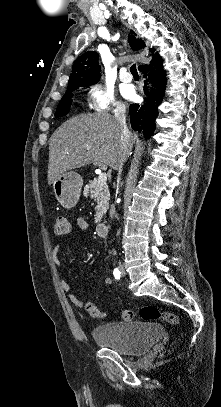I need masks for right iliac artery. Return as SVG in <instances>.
Here are the masks:
<instances>
[{
    "label": "right iliac artery",
    "mask_w": 221,
    "mask_h": 407,
    "mask_svg": "<svg viewBox=\"0 0 221 407\" xmlns=\"http://www.w3.org/2000/svg\"><path fill=\"white\" fill-rule=\"evenodd\" d=\"M114 277L116 280H119L121 277V271L118 268H115L113 271Z\"/></svg>",
    "instance_id": "obj_1"
}]
</instances>
